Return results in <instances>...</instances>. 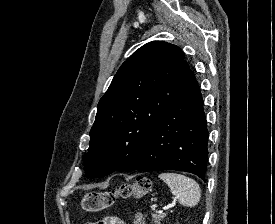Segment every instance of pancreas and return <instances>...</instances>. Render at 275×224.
I'll return each instance as SVG.
<instances>
[{
	"mask_svg": "<svg viewBox=\"0 0 275 224\" xmlns=\"http://www.w3.org/2000/svg\"><path fill=\"white\" fill-rule=\"evenodd\" d=\"M154 224H160V221L164 218V215H153Z\"/></svg>",
	"mask_w": 275,
	"mask_h": 224,
	"instance_id": "obj_1",
	"label": "pancreas"
}]
</instances>
